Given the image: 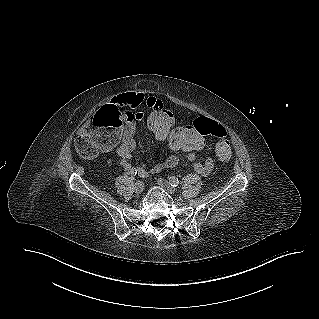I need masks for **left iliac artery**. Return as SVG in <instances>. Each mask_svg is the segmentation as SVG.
Returning a JSON list of instances; mask_svg holds the SVG:
<instances>
[{
  "mask_svg": "<svg viewBox=\"0 0 319 319\" xmlns=\"http://www.w3.org/2000/svg\"><path fill=\"white\" fill-rule=\"evenodd\" d=\"M169 183L171 184L172 187H177L179 185V180L175 176H171L169 178Z\"/></svg>",
  "mask_w": 319,
  "mask_h": 319,
  "instance_id": "left-iliac-artery-1",
  "label": "left iliac artery"
}]
</instances>
